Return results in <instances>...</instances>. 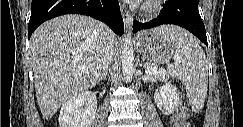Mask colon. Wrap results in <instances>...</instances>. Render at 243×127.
Wrapping results in <instances>:
<instances>
[{
  "label": "colon",
  "mask_w": 243,
  "mask_h": 127,
  "mask_svg": "<svg viewBox=\"0 0 243 127\" xmlns=\"http://www.w3.org/2000/svg\"><path fill=\"white\" fill-rule=\"evenodd\" d=\"M190 115L189 110L186 107H180L177 113L173 117L175 127H189L188 117Z\"/></svg>",
  "instance_id": "colon-1"
}]
</instances>
